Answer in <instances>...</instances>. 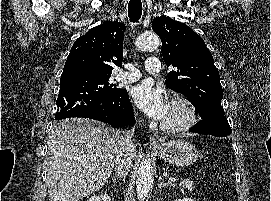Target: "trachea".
Returning a JSON list of instances; mask_svg holds the SVG:
<instances>
[{
	"label": "trachea",
	"mask_w": 271,
	"mask_h": 201,
	"mask_svg": "<svg viewBox=\"0 0 271 201\" xmlns=\"http://www.w3.org/2000/svg\"><path fill=\"white\" fill-rule=\"evenodd\" d=\"M142 15L141 0H130L128 4V16L131 22H138Z\"/></svg>",
	"instance_id": "1"
}]
</instances>
